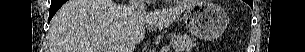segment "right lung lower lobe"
Masks as SVG:
<instances>
[{
    "label": "right lung lower lobe",
    "mask_w": 305,
    "mask_h": 52,
    "mask_svg": "<svg viewBox=\"0 0 305 52\" xmlns=\"http://www.w3.org/2000/svg\"><path fill=\"white\" fill-rule=\"evenodd\" d=\"M66 2V0H52L49 12V21L52 19L57 10Z\"/></svg>",
    "instance_id": "obj_1"
}]
</instances>
